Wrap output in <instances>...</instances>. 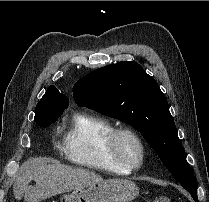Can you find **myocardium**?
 <instances>
[{"label": "myocardium", "mask_w": 209, "mask_h": 202, "mask_svg": "<svg viewBox=\"0 0 209 202\" xmlns=\"http://www.w3.org/2000/svg\"><path fill=\"white\" fill-rule=\"evenodd\" d=\"M122 137H130L136 142L139 150L137 159H131L121 153L119 141ZM106 150L114 162L130 170L138 169L143 164L146 156V147L142 137L136 130L128 126H119L112 129L106 141Z\"/></svg>", "instance_id": "1"}]
</instances>
